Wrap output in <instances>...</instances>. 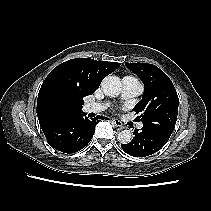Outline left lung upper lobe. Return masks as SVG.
I'll list each match as a JSON object with an SVG mask.
<instances>
[{
	"mask_svg": "<svg viewBox=\"0 0 211 211\" xmlns=\"http://www.w3.org/2000/svg\"><path fill=\"white\" fill-rule=\"evenodd\" d=\"M144 83L142 100L134 107L140 113L143 129L169 139L176 124L179 99L169 77L148 63H125Z\"/></svg>",
	"mask_w": 211,
	"mask_h": 211,
	"instance_id": "5c2ea615",
	"label": "left lung upper lobe"
}]
</instances>
